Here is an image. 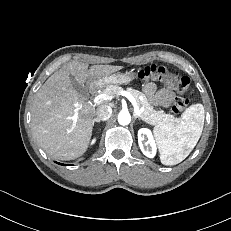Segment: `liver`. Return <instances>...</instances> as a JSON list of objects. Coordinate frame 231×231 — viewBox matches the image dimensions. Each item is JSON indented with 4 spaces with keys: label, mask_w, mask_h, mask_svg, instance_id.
<instances>
[{
    "label": "liver",
    "mask_w": 231,
    "mask_h": 231,
    "mask_svg": "<svg viewBox=\"0 0 231 231\" xmlns=\"http://www.w3.org/2000/svg\"><path fill=\"white\" fill-rule=\"evenodd\" d=\"M120 69L122 66L114 65H93L88 69V64L73 61L47 79L31 109L34 137L47 154L59 160H74L86 152L92 136L94 106L73 88L70 76L84 85ZM75 110L79 115L72 129Z\"/></svg>",
    "instance_id": "obj_1"
}]
</instances>
